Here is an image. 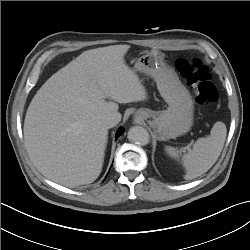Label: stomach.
Segmentation results:
<instances>
[{
  "instance_id": "stomach-1",
  "label": "stomach",
  "mask_w": 250,
  "mask_h": 250,
  "mask_svg": "<svg viewBox=\"0 0 250 250\" xmlns=\"http://www.w3.org/2000/svg\"><path fill=\"white\" fill-rule=\"evenodd\" d=\"M134 71L154 78L160 95L168 104L166 110L141 108L136 116L148 122L158 140H167L186 134L193 125L194 103L189 91L167 66L164 55L151 51L138 58Z\"/></svg>"
}]
</instances>
